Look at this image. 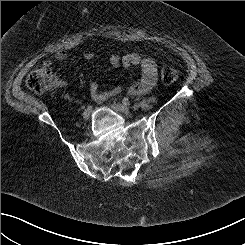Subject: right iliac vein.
Wrapping results in <instances>:
<instances>
[{"mask_svg": "<svg viewBox=\"0 0 245 245\" xmlns=\"http://www.w3.org/2000/svg\"><path fill=\"white\" fill-rule=\"evenodd\" d=\"M90 115H91V111H90V110H87V109H86V110L83 112V114H82L83 119H84L85 121L89 120Z\"/></svg>", "mask_w": 245, "mask_h": 245, "instance_id": "right-iliac-vein-1", "label": "right iliac vein"}]
</instances>
